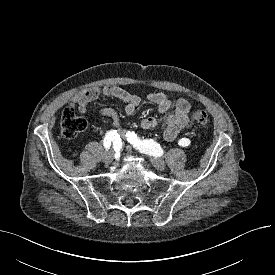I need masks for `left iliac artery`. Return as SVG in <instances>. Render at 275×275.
<instances>
[{
  "label": "left iliac artery",
  "mask_w": 275,
  "mask_h": 275,
  "mask_svg": "<svg viewBox=\"0 0 275 275\" xmlns=\"http://www.w3.org/2000/svg\"><path fill=\"white\" fill-rule=\"evenodd\" d=\"M126 138L129 142L133 143L134 146L141 152H145L152 155L157 154L159 144L156 141L152 139H140L134 132L130 131H128V133L126 134ZM190 143L191 141L188 138H182L178 141V144L182 147H187L190 145Z\"/></svg>",
  "instance_id": "left-iliac-artery-1"
}]
</instances>
